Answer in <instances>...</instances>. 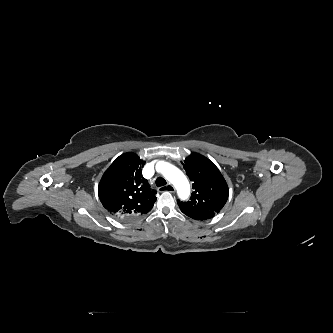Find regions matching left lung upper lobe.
Wrapping results in <instances>:
<instances>
[{"label": "left lung upper lobe", "mask_w": 333, "mask_h": 333, "mask_svg": "<svg viewBox=\"0 0 333 333\" xmlns=\"http://www.w3.org/2000/svg\"><path fill=\"white\" fill-rule=\"evenodd\" d=\"M183 167L192 181L194 191L190 200H178L180 208L189 212L214 216L219 213L228 199V186L218 168L206 157L193 153Z\"/></svg>", "instance_id": "obj_1"}]
</instances>
